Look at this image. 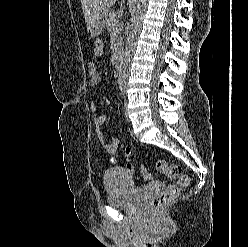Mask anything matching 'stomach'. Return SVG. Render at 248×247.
<instances>
[{"mask_svg":"<svg viewBox=\"0 0 248 247\" xmlns=\"http://www.w3.org/2000/svg\"><path fill=\"white\" fill-rule=\"evenodd\" d=\"M105 14L106 13L100 15V17L91 25L89 31L93 37L99 36L103 32L106 23Z\"/></svg>","mask_w":248,"mask_h":247,"instance_id":"0dacf381","label":"stomach"}]
</instances>
